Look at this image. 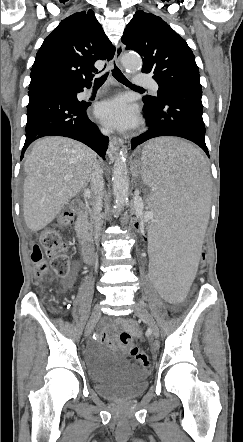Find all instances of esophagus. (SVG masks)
<instances>
[{
	"mask_svg": "<svg viewBox=\"0 0 243 442\" xmlns=\"http://www.w3.org/2000/svg\"><path fill=\"white\" fill-rule=\"evenodd\" d=\"M123 50H124V45L120 42L116 47V52H115V56H114V59H115V62L117 65H120ZM122 147H123V140L118 137H112L110 139V143H109L110 156L111 157L116 156Z\"/></svg>",
	"mask_w": 243,
	"mask_h": 442,
	"instance_id": "34e87169",
	"label": "esophagus"
}]
</instances>
